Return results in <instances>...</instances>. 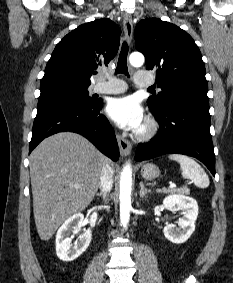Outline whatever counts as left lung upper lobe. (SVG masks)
Here are the masks:
<instances>
[{"mask_svg":"<svg viewBox=\"0 0 233 283\" xmlns=\"http://www.w3.org/2000/svg\"><path fill=\"white\" fill-rule=\"evenodd\" d=\"M136 48L154 70L161 92L147 100L149 108L162 111L177 100H208L206 70L201 52L181 28L158 18L141 20L134 31Z\"/></svg>","mask_w":233,"mask_h":283,"instance_id":"obj_1","label":"left lung upper lobe"}]
</instances>
